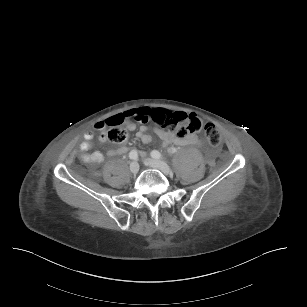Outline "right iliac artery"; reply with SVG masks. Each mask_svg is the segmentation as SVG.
Listing matches in <instances>:
<instances>
[{"label":"right iliac artery","instance_id":"1","mask_svg":"<svg viewBox=\"0 0 307 307\" xmlns=\"http://www.w3.org/2000/svg\"><path fill=\"white\" fill-rule=\"evenodd\" d=\"M129 158L132 159V160H137L138 159V153L136 150H132L130 153H129Z\"/></svg>","mask_w":307,"mask_h":307}]
</instances>
